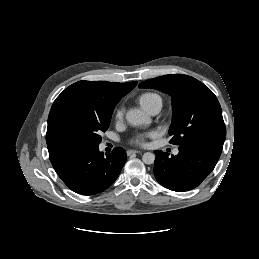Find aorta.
Returning <instances> with one entry per match:
<instances>
[{
	"instance_id": "1",
	"label": "aorta",
	"mask_w": 259,
	"mask_h": 259,
	"mask_svg": "<svg viewBox=\"0 0 259 259\" xmlns=\"http://www.w3.org/2000/svg\"><path fill=\"white\" fill-rule=\"evenodd\" d=\"M126 120L132 126L148 125L151 123V119L139 109H130L126 113ZM142 160L145 164H153L155 155L151 152H146L142 156Z\"/></svg>"
}]
</instances>
